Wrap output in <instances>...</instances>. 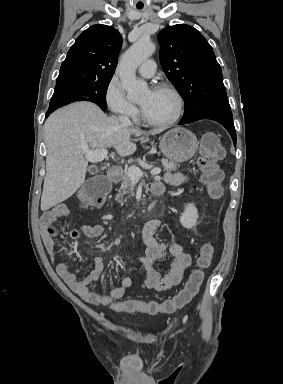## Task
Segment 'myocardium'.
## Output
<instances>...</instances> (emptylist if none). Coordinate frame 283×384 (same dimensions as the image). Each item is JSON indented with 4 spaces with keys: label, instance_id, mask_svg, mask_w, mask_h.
I'll use <instances>...</instances> for the list:
<instances>
[{
    "label": "myocardium",
    "instance_id": "myocardium-1",
    "mask_svg": "<svg viewBox=\"0 0 283 384\" xmlns=\"http://www.w3.org/2000/svg\"><path fill=\"white\" fill-rule=\"evenodd\" d=\"M153 89L164 90V91L168 92L173 97V99L175 100V104H176L175 113H174L173 117H171L169 120L163 121V122H156V121L149 120L148 118H146L143 115L142 110H140V117H141L142 121L149 127L157 128V129L168 128V127L174 125L175 123H177L182 116V113H183L182 96L180 95V93L178 92V90L175 87H173L167 83L157 84L153 87Z\"/></svg>",
    "mask_w": 283,
    "mask_h": 384
}]
</instances>
